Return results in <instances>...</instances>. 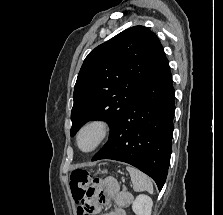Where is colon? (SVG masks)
I'll return each instance as SVG.
<instances>
[{
  "instance_id": "5ec220e1",
  "label": "colon",
  "mask_w": 223,
  "mask_h": 215,
  "mask_svg": "<svg viewBox=\"0 0 223 215\" xmlns=\"http://www.w3.org/2000/svg\"><path fill=\"white\" fill-rule=\"evenodd\" d=\"M90 180L91 176L85 170H74L70 175V187L72 195L78 205V211L83 215L92 214V207L83 202Z\"/></svg>"
}]
</instances>
